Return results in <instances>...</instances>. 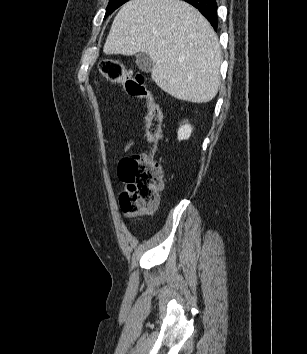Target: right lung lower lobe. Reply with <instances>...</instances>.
Segmentation results:
<instances>
[{"label": "right lung lower lobe", "instance_id": "obj_1", "mask_svg": "<svg viewBox=\"0 0 307 354\" xmlns=\"http://www.w3.org/2000/svg\"><path fill=\"white\" fill-rule=\"evenodd\" d=\"M197 8L211 23L213 28L217 29V3L216 0H184Z\"/></svg>", "mask_w": 307, "mask_h": 354}]
</instances>
